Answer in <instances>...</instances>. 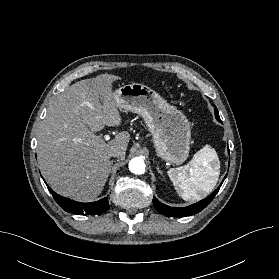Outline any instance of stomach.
Wrapping results in <instances>:
<instances>
[{
	"label": "stomach",
	"mask_w": 279,
	"mask_h": 279,
	"mask_svg": "<svg viewBox=\"0 0 279 279\" xmlns=\"http://www.w3.org/2000/svg\"><path fill=\"white\" fill-rule=\"evenodd\" d=\"M120 109L141 115L152 134L157 156L183 163L190 150L191 130L186 116L150 87L132 83L114 91Z\"/></svg>",
	"instance_id": "obj_1"
}]
</instances>
